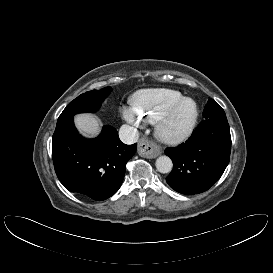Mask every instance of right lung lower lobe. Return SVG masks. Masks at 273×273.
<instances>
[{"instance_id": "obj_1", "label": "right lung lower lobe", "mask_w": 273, "mask_h": 273, "mask_svg": "<svg viewBox=\"0 0 273 273\" xmlns=\"http://www.w3.org/2000/svg\"><path fill=\"white\" fill-rule=\"evenodd\" d=\"M137 144L126 145L116 129L104 126L94 139L78 134L73 118L59 122L52 138L55 172L70 192L105 200L120 188L126 163L133 157Z\"/></svg>"}]
</instances>
